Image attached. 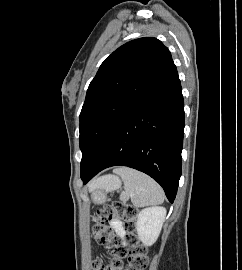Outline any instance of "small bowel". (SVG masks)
<instances>
[{"instance_id": "obj_1", "label": "small bowel", "mask_w": 242, "mask_h": 270, "mask_svg": "<svg viewBox=\"0 0 242 270\" xmlns=\"http://www.w3.org/2000/svg\"><path fill=\"white\" fill-rule=\"evenodd\" d=\"M111 226L118 236L123 237L125 235V229L121 221L114 219L111 221Z\"/></svg>"}]
</instances>
